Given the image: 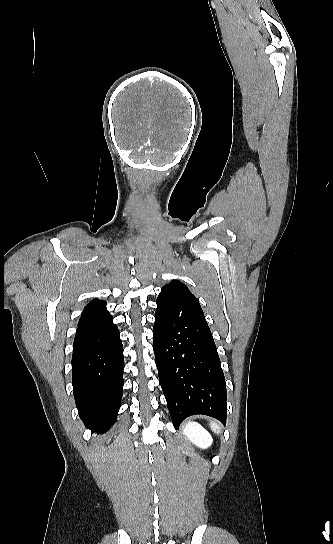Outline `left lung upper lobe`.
I'll use <instances>...</instances> for the list:
<instances>
[{"label":"left lung upper lobe","mask_w":333,"mask_h":544,"mask_svg":"<svg viewBox=\"0 0 333 544\" xmlns=\"http://www.w3.org/2000/svg\"><path fill=\"white\" fill-rule=\"evenodd\" d=\"M171 296L197 300L196 297L189 291L188 287L178 280H173L170 284L163 286L157 301L164 300Z\"/></svg>","instance_id":"5c2ea615"}]
</instances>
